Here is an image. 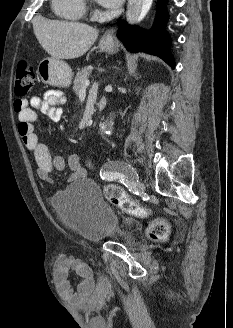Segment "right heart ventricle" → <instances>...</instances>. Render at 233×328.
<instances>
[{
	"mask_svg": "<svg viewBox=\"0 0 233 328\" xmlns=\"http://www.w3.org/2000/svg\"><path fill=\"white\" fill-rule=\"evenodd\" d=\"M57 15L68 20H78L85 13V0H53Z\"/></svg>",
	"mask_w": 233,
	"mask_h": 328,
	"instance_id": "right-heart-ventricle-1",
	"label": "right heart ventricle"
}]
</instances>
